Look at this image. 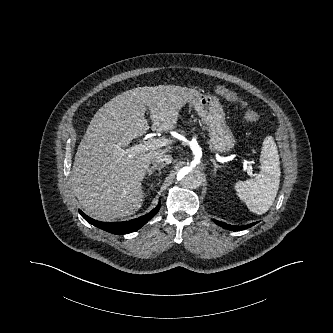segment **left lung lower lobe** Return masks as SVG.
I'll use <instances>...</instances> for the list:
<instances>
[{"label": "left lung lower lobe", "mask_w": 333, "mask_h": 333, "mask_svg": "<svg viewBox=\"0 0 333 333\" xmlns=\"http://www.w3.org/2000/svg\"><path fill=\"white\" fill-rule=\"evenodd\" d=\"M214 222L223 227L224 229H228V230H233V231H240V230H244V229H247V228H250L251 226H254L256 223H251L249 225H245V226H232L230 224H226L224 222H220V221H217V220H214Z\"/></svg>", "instance_id": "obj_1"}]
</instances>
